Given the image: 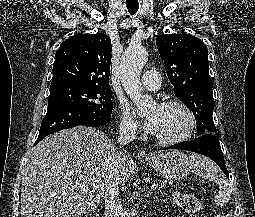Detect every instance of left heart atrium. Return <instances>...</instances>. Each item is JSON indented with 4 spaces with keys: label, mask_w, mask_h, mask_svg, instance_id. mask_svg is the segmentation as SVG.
I'll use <instances>...</instances> for the list:
<instances>
[{
    "label": "left heart atrium",
    "mask_w": 255,
    "mask_h": 217,
    "mask_svg": "<svg viewBox=\"0 0 255 217\" xmlns=\"http://www.w3.org/2000/svg\"><path fill=\"white\" fill-rule=\"evenodd\" d=\"M157 124H158V110L154 111L147 117V119L144 122V126L148 132L155 134Z\"/></svg>",
    "instance_id": "obj_1"
}]
</instances>
